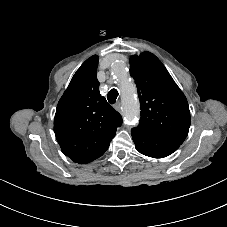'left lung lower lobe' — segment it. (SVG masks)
<instances>
[{
    "mask_svg": "<svg viewBox=\"0 0 227 227\" xmlns=\"http://www.w3.org/2000/svg\"><path fill=\"white\" fill-rule=\"evenodd\" d=\"M136 149L149 157L163 158L176 151L178 144L152 130L136 127L131 131Z\"/></svg>",
    "mask_w": 227,
    "mask_h": 227,
    "instance_id": "obj_1",
    "label": "left lung lower lobe"
}]
</instances>
